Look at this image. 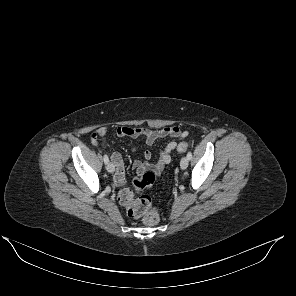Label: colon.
<instances>
[{
	"mask_svg": "<svg viewBox=\"0 0 296 296\" xmlns=\"http://www.w3.org/2000/svg\"><path fill=\"white\" fill-rule=\"evenodd\" d=\"M190 145L187 142H181L177 146V151L183 153L189 149ZM156 180L155 172L147 170L138 175L133 184L137 189H149L153 187ZM120 203L126 207L130 217L141 218L143 223L149 226H154L159 221L158 211L152 206L150 197L142 196L134 199L133 192L129 188H124L119 193Z\"/></svg>",
	"mask_w": 296,
	"mask_h": 296,
	"instance_id": "5ec220e1",
	"label": "colon"
}]
</instances>
